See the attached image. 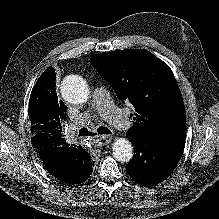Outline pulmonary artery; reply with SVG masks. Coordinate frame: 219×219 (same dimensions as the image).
<instances>
[{
    "label": "pulmonary artery",
    "instance_id": "1",
    "mask_svg": "<svg viewBox=\"0 0 219 219\" xmlns=\"http://www.w3.org/2000/svg\"><path fill=\"white\" fill-rule=\"evenodd\" d=\"M92 104L97 108L100 115L116 128L126 130L130 127V120L127 114L115 106L108 91L103 86L98 85L94 88ZM89 118V112H85L81 116L83 121H87Z\"/></svg>",
    "mask_w": 219,
    "mask_h": 219
}]
</instances>
